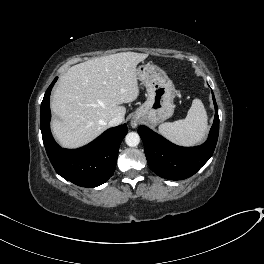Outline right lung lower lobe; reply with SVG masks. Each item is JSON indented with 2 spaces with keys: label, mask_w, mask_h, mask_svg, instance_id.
Wrapping results in <instances>:
<instances>
[{
  "label": "right lung lower lobe",
  "mask_w": 264,
  "mask_h": 264,
  "mask_svg": "<svg viewBox=\"0 0 264 264\" xmlns=\"http://www.w3.org/2000/svg\"><path fill=\"white\" fill-rule=\"evenodd\" d=\"M57 78L45 92L41 103L40 126L43 143L55 171L66 180L81 187H96L114 173L121 141L127 134L126 124L105 131L93 142L76 149H62L50 131V93Z\"/></svg>",
  "instance_id": "right-lung-lower-lobe-1"
}]
</instances>
